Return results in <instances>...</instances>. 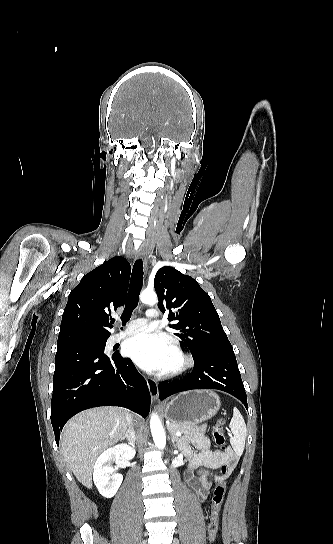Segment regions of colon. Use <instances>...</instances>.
<instances>
[{"label": "colon", "instance_id": "colon-1", "mask_svg": "<svg viewBox=\"0 0 333 544\" xmlns=\"http://www.w3.org/2000/svg\"><path fill=\"white\" fill-rule=\"evenodd\" d=\"M224 424L225 420L223 418L219 419L213 429V439L215 445L221 449L225 450V436H224ZM229 473V468L226 465L221 467V478L216 483L211 494V514L208 524V537L209 541L213 542L217 536L219 530V514L223 502V498L226 492V477Z\"/></svg>", "mask_w": 333, "mask_h": 544}]
</instances>
